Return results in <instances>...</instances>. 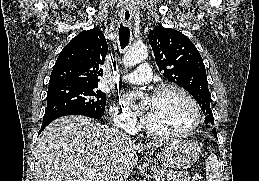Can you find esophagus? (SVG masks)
Wrapping results in <instances>:
<instances>
[{"label": "esophagus", "mask_w": 259, "mask_h": 181, "mask_svg": "<svg viewBox=\"0 0 259 181\" xmlns=\"http://www.w3.org/2000/svg\"><path fill=\"white\" fill-rule=\"evenodd\" d=\"M123 20H124V22H126V23H128L130 20H131V14H129V13H124L123 14Z\"/></svg>", "instance_id": "esophagus-1"}]
</instances>
